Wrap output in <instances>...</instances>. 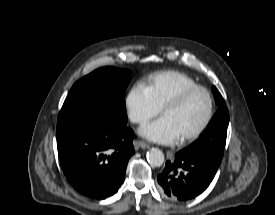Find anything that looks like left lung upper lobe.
<instances>
[{
  "label": "left lung upper lobe",
  "mask_w": 275,
  "mask_h": 215,
  "mask_svg": "<svg viewBox=\"0 0 275 215\" xmlns=\"http://www.w3.org/2000/svg\"><path fill=\"white\" fill-rule=\"evenodd\" d=\"M212 92L219 109L200 137L182 151L190 156L220 165L230 118L225 101L215 86L212 87Z\"/></svg>",
  "instance_id": "5c2ea615"
}]
</instances>
